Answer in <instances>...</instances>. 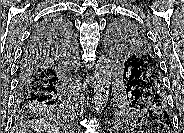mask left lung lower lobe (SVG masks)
Wrapping results in <instances>:
<instances>
[{
  "instance_id": "1",
  "label": "left lung lower lobe",
  "mask_w": 184,
  "mask_h": 133,
  "mask_svg": "<svg viewBox=\"0 0 184 133\" xmlns=\"http://www.w3.org/2000/svg\"><path fill=\"white\" fill-rule=\"evenodd\" d=\"M132 87L135 88L137 96L143 99L146 107L149 108L147 121H160L171 127L170 111L165 105L167 98L163 82L148 81L140 72H137L132 80Z\"/></svg>"
}]
</instances>
